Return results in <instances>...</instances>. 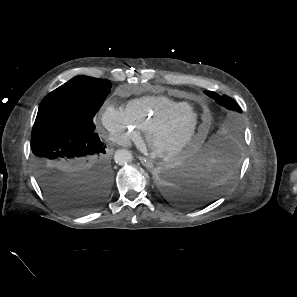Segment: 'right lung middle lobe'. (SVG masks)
<instances>
[{
    "label": "right lung middle lobe",
    "instance_id": "1",
    "mask_svg": "<svg viewBox=\"0 0 297 297\" xmlns=\"http://www.w3.org/2000/svg\"><path fill=\"white\" fill-rule=\"evenodd\" d=\"M110 89L108 80L74 77L44 97L32 132L60 123H78L94 130L93 117Z\"/></svg>",
    "mask_w": 297,
    "mask_h": 297
}]
</instances>
